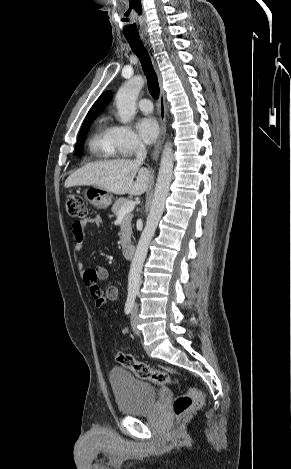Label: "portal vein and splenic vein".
<instances>
[{
  "label": "portal vein and splenic vein",
  "instance_id": "portal-vein-and-splenic-vein-1",
  "mask_svg": "<svg viewBox=\"0 0 291 469\" xmlns=\"http://www.w3.org/2000/svg\"><path fill=\"white\" fill-rule=\"evenodd\" d=\"M135 208V202L133 201H128L126 204H124L119 212V214H126L131 212Z\"/></svg>",
  "mask_w": 291,
  "mask_h": 469
}]
</instances>
